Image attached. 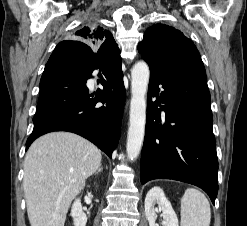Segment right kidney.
<instances>
[{
    "label": "right kidney",
    "mask_w": 247,
    "mask_h": 226,
    "mask_svg": "<svg viewBox=\"0 0 247 226\" xmlns=\"http://www.w3.org/2000/svg\"><path fill=\"white\" fill-rule=\"evenodd\" d=\"M71 216L74 220V226H86L87 216L82 210L80 199H76L72 205Z\"/></svg>",
    "instance_id": "right-kidney-1"
}]
</instances>
